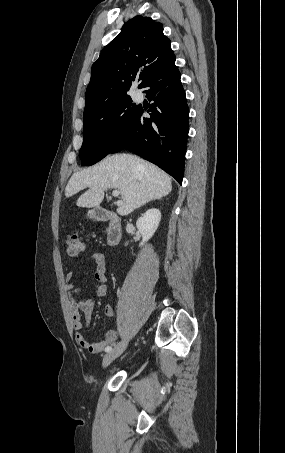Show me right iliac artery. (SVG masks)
I'll list each match as a JSON object with an SVG mask.
<instances>
[{
  "mask_svg": "<svg viewBox=\"0 0 285 453\" xmlns=\"http://www.w3.org/2000/svg\"><path fill=\"white\" fill-rule=\"evenodd\" d=\"M111 349H112V347L109 346V347H107V348L105 349V351H106V352H109Z\"/></svg>",
  "mask_w": 285,
  "mask_h": 453,
  "instance_id": "obj_1",
  "label": "right iliac artery"
}]
</instances>
